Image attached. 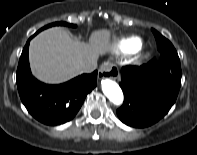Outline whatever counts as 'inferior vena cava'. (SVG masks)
Wrapping results in <instances>:
<instances>
[{"mask_svg":"<svg viewBox=\"0 0 197 155\" xmlns=\"http://www.w3.org/2000/svg\"><path fill=\"white\" fill-rule=\"evenodd\" d=\"M97 68V62H91L88 64H84L81 68V72L83 73H91Z\"/></svg>","mask_w":197,"mask_h":155,"instance_id":"inferior-vena-cava-1","label":"inferior vena cava"}]
</instances>
